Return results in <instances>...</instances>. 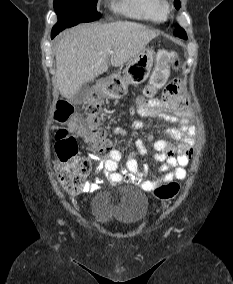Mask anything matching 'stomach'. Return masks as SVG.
<instances>
[{
	"label": "stomach",
	"mask_w": 233,
	"mask_h": 284,
	"mask_svg": "<svg viewBox=\"0 0 233 284\" xmlns=\"http://www.w3.org/2000/svg\"><path fill=\"white\" fill-rule=\"evenodd\" d=\"M155 52L151 48H144L120 73L112 74L99 83L100 92L108 98L120 99L128 92V85H138L147 80L150 75Z\"/></svg>",
	"instance_id": "1"
}]
</instances>
